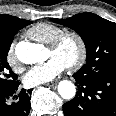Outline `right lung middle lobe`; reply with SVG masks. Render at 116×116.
I'll return each instance as SVG.
<instances>
[{
  "label": "right lung middle lobe",
  "mask_w": 116,
  "mask_h": 116,
  "mask_svg": "<svg viewBox=\"0 0 116 116\" xmlns=\"http://www.w3.org/2000/svg\"><path fill=\"white\" fill-rule=\"evenodd\" d=\"M32 21H24L12 28H0V90L13 85L17 81V75L12 72L6 57L10 49L14 35Z\"/></svg>",
  "instance_id": "1"
}]
</instances>
